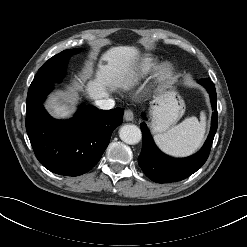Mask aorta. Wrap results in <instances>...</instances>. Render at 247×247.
Here are the masks:
<instances>
[{
	"mask_svg": "<svg viewBox=\"0 0 247 247\" xmlns=\"http://www.w3.org/2000/svg\"><path fill=\"white\" fill-rule=\"evenodd\" d=\"M119 137L126 144L135 145L140 142L142 135L138 126L127 124L120 128Z\"/></svg>",
	"mask_w": 247,
	"mask_h": 247,
	"instance_id": "obj_1",
	"label": "aorta"
}]
</instances>
